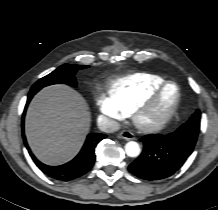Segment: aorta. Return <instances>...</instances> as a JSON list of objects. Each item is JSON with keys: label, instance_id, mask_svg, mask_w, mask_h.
I'll return each mask as SVG.
<instances>
[{"label": "aorta", "instance_id": "aorta-1", "mask_svg": "<svg viewBox=\"0 0 218 210\" xmlns=\"http://www.w3.org/2000/svg\"><path fill=\"white\" fill-rule=\"evenodd\" d=\"M125 152L129 157L139 156L141 150L137 142L130 141L125 145Z\"/></svg>", "mask_w": 218, "mask_h": 210}]
</instances>
